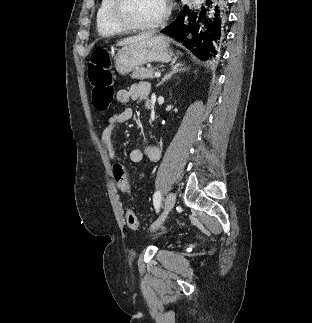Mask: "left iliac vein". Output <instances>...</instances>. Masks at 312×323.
I'll return each instance as SVG.
<instances>
[{"label": "left iliac vein", "instance_id": "4c4485c4", "mask_svg": "<svg viewBox=\"0 0 312 323\" xmlns=\"http://www.w3.org/2000/svg\"><path fill=\"white\" fill-rule=\"evenodd\" d=\"M175 200H176V196L173 192H170L167 195V198L165 200V204H164V212L161 215V217L153 224V228H156L158 226H160L165 218L167 217L168 213L171 211V209L174 207L175 205Z\"/></svg>", "mask_w": 312, "mask_h": 323}]
</instances>
